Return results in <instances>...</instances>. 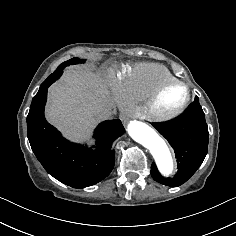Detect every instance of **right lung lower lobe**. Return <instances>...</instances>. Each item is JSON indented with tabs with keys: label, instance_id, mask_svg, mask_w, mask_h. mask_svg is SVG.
Segmentation results:
<instances>
[{
	"label": "right lung lower lobe",
	"instance_id": "1",
	"mask_svg": "<svg viewBox=\"0 0 236 236\" xmlns=\"http://www.w3.org/2000/svg\"><path fill=\"white\" fill-rule=\"evenodd\" d=\"M52 83H42L30 106L27 135L31 148L45 170L60 182L74 188L94 185L112 171V144L124 133V127L119 119L100 123L94 133L95 149L67 141L44 117L47 89Z\"/></svg>",
	"mask_w": 236,
	"mask_h": 236
}]
</instances>
